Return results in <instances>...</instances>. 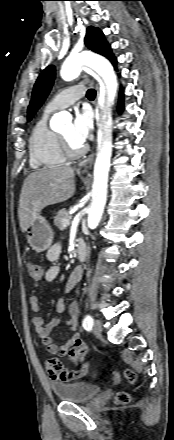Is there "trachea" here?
Segmentation results:
<instances>
[{"label": "trachea", "mask_w": 174, "mask_h": 440, "mask_svg": "<svg viewBox=\"0 0 174 440\" xmlns=\"http://www.w3.org/2000/svg\"><path fill=\"white\" fill-rule=\"evenodd\" d=\"M95 96H96V91H95V90H93V89H89V90L87 91V97H88L89 99H94Z\"/></svg>", "instance_id": "trachea-1"}]
</instances>
